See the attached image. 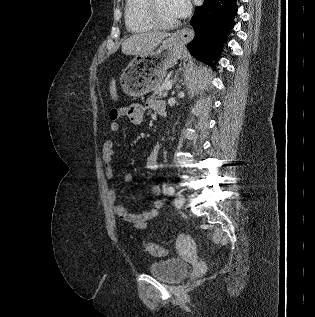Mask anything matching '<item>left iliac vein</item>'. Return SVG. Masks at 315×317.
Instances as JSON below:
<instances>
[{"label":"left iliac vein","mask_w":315,"mask_h":317,"mask_svg":"<svg viewBox=\"0 0 315 317\" xmlns=\"http://www.w3.org/2000/svg\"><path fill=\"white\" fill-rule=\"evenodd\" d=\"M174 204L177 208H181L184 204V197L182 194L180 193H177L176 194V197H175V200H174Z\"/></svg>","instance_id":"left-iliac-vein-1"}]
</instances>
